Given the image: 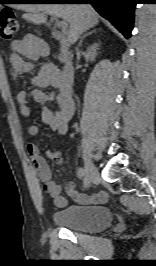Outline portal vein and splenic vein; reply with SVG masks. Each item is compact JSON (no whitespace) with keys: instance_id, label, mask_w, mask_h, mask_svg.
Returning a JSON list of instances; mask_svg holds the SVG:
<instances>
[{"instance_id":"portal-vein-and-splenic-vein-1","label":"portal vein and splenic vein","mask_w":156,"mask_h":266,"mask_svg":"<svg viewBox=\"0 0 156 266\" xmlns=\"http://www.w3.org/2000/svg\"><path fill=\"white\" fill-rule=\"evenodd\" d=\"M53 19L56 20V25H57V27L61 28L62 30H66V29H67L68 24H67L66 21H64V20H61V21H60V20L57 19L56 17H53Z\"/></svg>"}]
</instances>
